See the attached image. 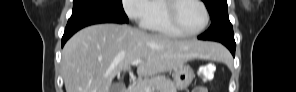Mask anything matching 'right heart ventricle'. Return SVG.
Instances as JSON below:
<instances>
[{
  "label": "right heart ventricle",
  "mask_w": 296,
  "mask_h": 92,
  "mask_svg": "<svg viewBox=\"0 0 296 92\" xmlns=\"http://www.w3.org/2000/svg\"><path fill=\"white\" fill-rule=\"evenodd\" d=\"M167 2L163 0H156L151 2V16L144 28L158 34L169 37H179L181 34L177 33L168 23L166 18Z\"/></svg>",
  "instance_id": "e07e8e85"
}]
</instances>
